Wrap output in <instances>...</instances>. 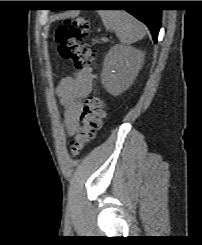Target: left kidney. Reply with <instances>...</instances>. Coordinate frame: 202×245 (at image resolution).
Returning a JSON list of instances; mask_svg holds the SVG:
<instances>
[{
  "mask_svg": "<svg viewBox=\"0 0 202 245\" xmlns=\"http://www.w3.org/2000/svg\"><path fill=\"white\" fill-rule=\"evenodd\" d=\"M144 53L131 46L115 45L106 55L101 74L106 91L118 96L127 90L141 68Z\"/></svg>",
  "mask_w": 202,
  "mask_h": 245,
  "instance_id": "1",
  "label": "left kidney"
}]
</instances>
